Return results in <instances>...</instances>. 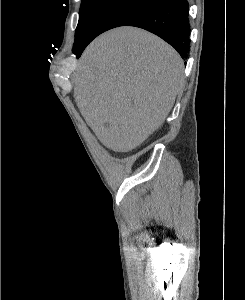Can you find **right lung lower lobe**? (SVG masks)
I'll return each instance as SVG.
<instances>
[{
    "mask_svg": "<svg viewBox=\"0 0 245 300\" xmlns=\"http://www.w3.org/2000/svg\"><path fill=\"white\" fill-rule=\"evenodd\" d=\"M188 16L187 0H161L125 26L143 28L156 34L172 45L182 58H187L190 34ZM86 46L74 47L73 53L79 57Z\"/></svg>",
    "mask_w": 245,
    "mask_h": 300,
    "instance_id": "right-lung-lower-lobe-1",
    "label": "right lung lower lobe"
}]
</instances>
